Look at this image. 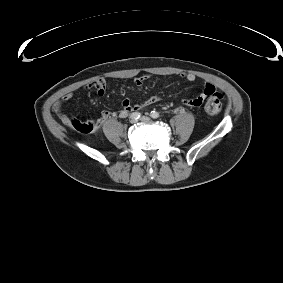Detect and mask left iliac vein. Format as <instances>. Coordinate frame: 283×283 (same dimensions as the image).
Returning a JSON list of instances; mask_svg holds the SVG:
<instances>
[{
  "mask_svg": "<svg viewBox=\"0 0 283 283\" xmlns=\"http://www.w3.org/2000/svg\"><path fill=\"white\" fill-rule=\"evenodd\" d=\"M141 121L149 122V121H150V118H148V117H143V118L141 119Z\"/></svg>",
  "mask_w": 283,
  "mask_h": 283,
  "instance_id": "4c4485c4",
  "label": "left iliac vein"
}]
</instances>
